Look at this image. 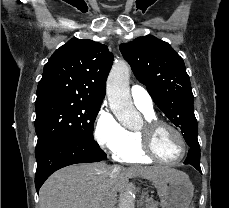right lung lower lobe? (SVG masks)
<instances>
[{"label":"right lung lower lobe","instance_id":"right-lung-lower-lobe-1","mask_svg":"<svg viewBox=\"0 0 229 208\" xmlns=\"http://www.w3.org/2000/svg\"><path fill=\"white\" fill-rule=\"evenodd\" d=\"M35 155L37 192L56 170L76 163L99 162L107 157L98 144L72 135H63L50 140L37 149Z\"/></svg>","mask_w":229,"mask_h":208}]
</instances>
